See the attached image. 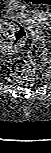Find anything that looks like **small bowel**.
Wrapping results in <instances>:
<instances>
[{
	"instance_id": "small-bowel-1",
	"label": "small bowel",
	"mask_w": 51,
	"mask_h": 153,
	"mask_svg": "<svg viewBox=\"0 0 51 153\" xmlns=\"http://www.w3.org/2000/svg\"><path fill=\"white\" fill-rule=\"evenodd\" d=\"M12 5H13V7H14V5H15V2H13V3H12Z\"/></svg>"
}]
</instances>
